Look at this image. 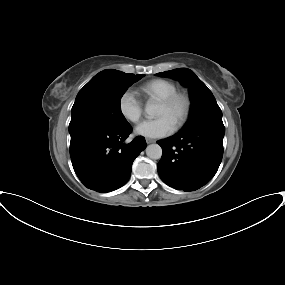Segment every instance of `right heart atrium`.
<instances>
[{"instance_id": "obj_1", "label": "right heart atrium", "mask_w": 285, "mask_h": 285, "mask_svg": "<svg viewBox=\"0 0 285 285\" xmlns=\"http://www.w3.org/2000/svg\"><path fill=\"white\" fill-rule=\"evenodd\" d=\"M118 106L120 114L127 121L137 123L141 119L143 104L136 93L132 90L127 89L121 94Z\"/></svg>"}]
</instances>
